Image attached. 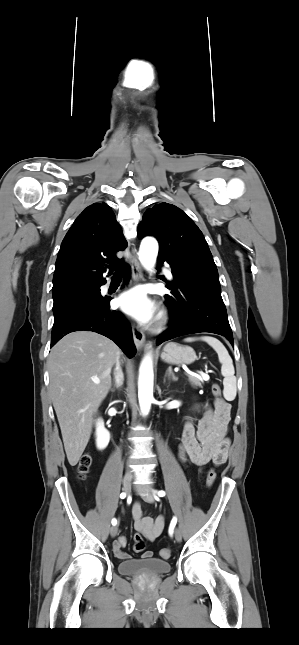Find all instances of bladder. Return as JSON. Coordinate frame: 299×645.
Returning a JSON list of instances; mask_svg holds the SVG:
<instances>
[{
  "mask_svg": "<svg viewBox=\"0 0 299 645\" xmlns=\"http://www.w3.org/2000/svg\"><path fill=\"white\" fill-rule=\"evenodd\" d=\"M171 570V564L160 558L130 559L119 563L118 571L122 575L155 576L166 574Z\"/></svg>",
  "mask_w": 299,
  "mask_h": 645,
  "instance_id": "obj_1",
  "label": "bladder"
}]
</instances>
